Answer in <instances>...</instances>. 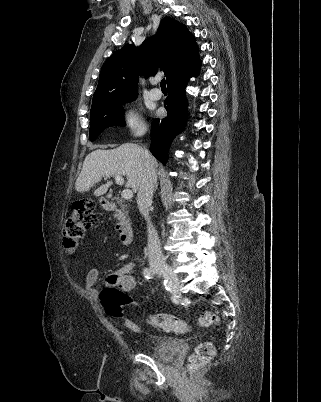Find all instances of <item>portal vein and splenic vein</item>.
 Here are the masks:
<instances>
[{
	"label": "portal vein and splenic vein",
	"instance_id": "obj_1",
	"mask_svg": "<svg viewBox=\"0 0 321 402\" xmlns=\"http://www.w3.org/2000/svg\"><path fill=\"white\" fill-rule=\"evenodd\" d=\"M115 181L118 185H123L124 184V179L120 175L115 176ZM122 197L126 200H129L133 197V193L130 189H125L122 191Z\"/></svg>",
	"mask_w": 321,
	"mask_h": 402
}]
</instances>
